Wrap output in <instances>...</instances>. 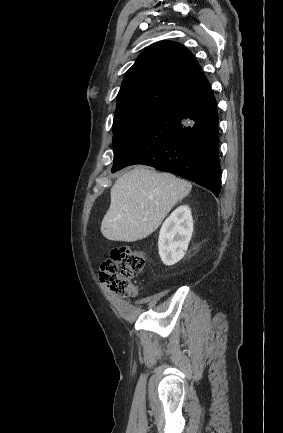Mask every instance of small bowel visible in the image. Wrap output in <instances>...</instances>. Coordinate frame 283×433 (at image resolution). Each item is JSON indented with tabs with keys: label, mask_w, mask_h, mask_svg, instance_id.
Listing matches in <instances>:
<instances>
[{
	"label": "small bowel",
	"mask_w": 283,
	"mask_h": 433,
	"mask_svg": "<svg viewBox=\"0 0 283 433\" xmlns=\"http://www.w3.org/2000/svg\"><path fill=\"white\" fill-rule=\"evenodd\" d=\"M117 304L120 312L126 319L129 320L135 315L134 311L125 302L117 300Z\"/></svg>",
	"instance_id": "small-bowel-1"
}]
</instances>
